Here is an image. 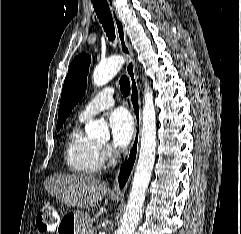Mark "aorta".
Masks as SVG:
<instances>
[{"instance_id":"aorta-1","label":"aorta","mask_w":241,"mask_h":234,"mask_svg":"<svg viewBox=\"0 0 241 234\" xmlns=\"http://www.w3.org/2000/svg\"><path fill=\"white\" fill-rule=\"evenodd\" d=\"M125 59L122 56H112L100 62L93 71V83L103 86L108 83L121 69ZM88 138L109 137L108 126L101 121L92 120L85 126ZM156 151V112L153 93L145 83L144 107L139 159L129 194V199L120 228L116 234H133L142 215L145 193L148 188Z\"/></svg>"}]
</instances>
